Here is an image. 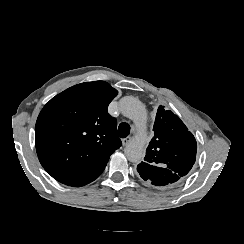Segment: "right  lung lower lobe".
<instances>
[{"mask_svg":"<svg viewBox=\"0 0 244 244\" xmlns=\"http://www.w3.org/2000/svg\"><path fill=\"white\" fill-rule=\"evenodd\" d=\"M70 186H75V187H79V186H76V185H70Z\"/></svg>","mask_w":244,"mask_h":244,"instance_id":"right-lung-lower-lobe-1","label":"right lung lower lobe"}]
</instances>
